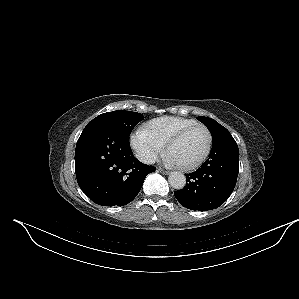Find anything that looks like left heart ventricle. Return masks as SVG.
Wrapping results in <instances>:
<instances>
[{
    "instance_id": "b2bd125f",
    "label": "left heart ventricle",
    "mask_w": 299,
    "mask_h": 299,
    "mask_svg": "<svg viewBox=\"0 0 299 299\" xmlns=\"http://www.w3.org/2000/svg\"><path fill=\"white\" fill-rule=\"evenodd\" d=\"M207 142L206 131L201 127H197L173 145L169 152L176 157L181 165H189L196 162L203 155Z\"/></svg>"
}]
</instances>
